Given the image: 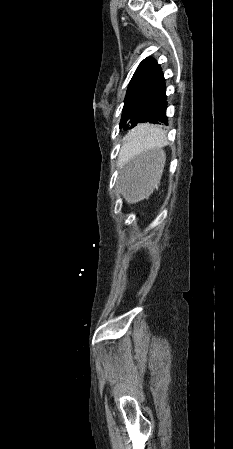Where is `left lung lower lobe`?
<instances>
[{"label": "left lung lower lobe", "instance_id": "0a47b994", "mask_svg": "<svg viewBox=\"0 0 233 449\" xmlns=\"http://www.w3.org/2000/svg\"><path fill=\"white\" fill-rule=\"evenodd\" d=\"M166 90H164L153 102L151 107L148 109L146 115L142 122H149L153 124L164 123L167 125V116H166Z\"/></svg>", "mask_w": 233, "mask_h": 449}]
</instances>
